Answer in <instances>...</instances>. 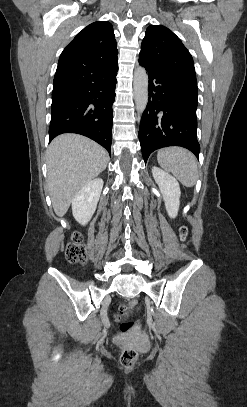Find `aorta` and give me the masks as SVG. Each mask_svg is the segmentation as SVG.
<instances>
[{"mask_svg": "<svg viewBox=\"0 0 247 407\" xmlns=\"http://www.w3.org/2000/svg\"><path fill=\"white\" fill-rule=\"evenodd\" d=\"M133 89L136 110L142 114L148 103V75L143 67L134 71Z\"/></svg>", "mask_w": 247, "mask_h": 407, "instance_id": "aorta-1", "label": "aorta"}]
</instances>
